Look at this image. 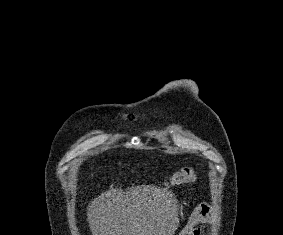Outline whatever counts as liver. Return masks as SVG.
Segmentation results:
<instances>
[{
  "instance_id": "1",
  "label": "liver",
  "mask_w": 283,
  "mask_h": 235,
  "mask_svg": "<svg viewBox=\"0 0 283 235\" xmlns=\"http://www.w3.org/2000/svg\"><path fill=\"white\" fill-rule=\"evenodd\" d=\"M177 200L153 185L110 188L88 207L92 235H172L178 225Z\"/></svg>"
}]
</instances>
